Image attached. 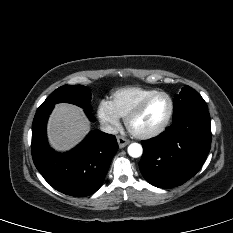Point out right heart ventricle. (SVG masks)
Here are the masks:
<instances>
[{"label":"right heart ventricle","mask_w":233,"mask_h":233,"mask_svg":"<svg viewBox=\"0 0 233 233\" xmlns=\"http://www.w3.org/2000/svg\"><path fill=\"white\" fill-rule=\"evenodd\" d=\"M156 91L138 86L120 88L111 94L109 102L119 117L126 118L139 102Z\"/></svg>","instance_id":"right-heart-ventricle-1"}]
</instances>
